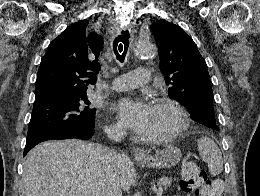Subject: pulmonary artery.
Returning <instances> with one entry per match:
<instances>
[{
	"label": "pulmonary artery",
	"mask_w": 260,
	"mask_h": 196,
	"mask_svg": "<svg viewBox=\"0 0 260 196\" xmlns=\"http://www.w3.org/2000/svg\"><path fill=\"white\" fill-rule=\"evenodd\" d=\"M152 72H146V69H132V72H126V76H115L112 80V89L114 91L136 90V85L120 84H150ZM120 85V86H119Z\"/></svg>",
	"instance_id": "e3ab8cb5"
}]
</instances>
